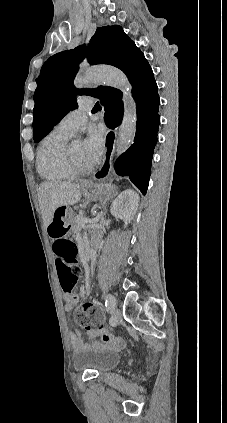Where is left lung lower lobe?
<instances>
[{"mask_svg": "<svg viewBox=\"0 0 227 423\" xmlns=\"http://www.w3.org/2000/svg\"><path fill=\"white\" fill-rule=\"evenodd\" d=\"M136 100L137 126L134 143L115 162L120 176H127L133 184L146 194L151 174V161L157 143L160 123L159 96L153 72H150L133 91ZM123 117V107H112L105 111L104 120L108 128L115 129Z\"/></svg>", "mask_w": 227, "mask_h": 423, "instance_id": "1", "label": "left lung lower lobe"}]
</instances>
